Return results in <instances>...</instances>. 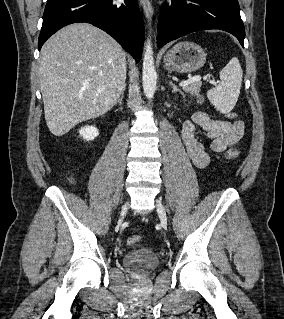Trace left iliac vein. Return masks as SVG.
<instances>
[{"label": "left iliac vein", "mask_w": 284, "mask_h": 319, "mask_svg": "<svg viewBox=\"0 0 284 319\" xmlns=\"http://www.w3.org/2000/svg\"><path fill=\"white\" fill-rule=\"evenodd\" d=\"M156 207H157V212H158L160 220H161V224L163 226H166L167 225V216H166L165 208L162 205L161 201H159V200L156 201Z\"/></svg>", "instance_id": "obj_1"}]
</instances>
